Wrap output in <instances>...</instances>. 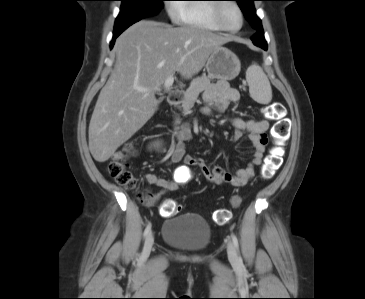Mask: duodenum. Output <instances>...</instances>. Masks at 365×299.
I'll return each instance as SVG.
<instances>
[{
	"label": "duodenum",
	"mask_w": 365,
	"mask_h": 299,
	"mask_svg": "<svg viewBox=\"0 0 365 299\" xmlns=\"http://www.w3.org/2000/svg\"><path fill=\"white\" fill-rule=\"evenodd\" d=\"M185 96V92L184 90H175L173 92H171L168 96V102L171 105H178L181 103V101L183 100Z\"/></svg>",
	"instance_id": "410a0bca"
}]
</instances>
